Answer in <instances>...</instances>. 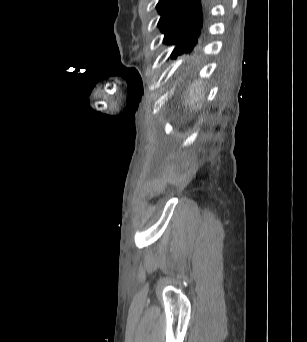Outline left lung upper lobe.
I'll return each instance as SVG.
<instances>
[{
	"label": "left lung upper lobe",
	"instance_id": "left-lung-upper-lobe-1",
	"mask_svg": "<svg viewBox=\"0 0 307 342\" xmlns=\"http://www.w3.org/2000/svg\"><path fill=\"white\" fill-rule=\"evenodd\" d=\"M156 8L161 15L158 27L165 34L163 42L175 45L170 57L197 50L206 28L201 0H159Z\"/></svg>",
	"mask_w": 307,
	"mask_h": 342
}]
</instances>
